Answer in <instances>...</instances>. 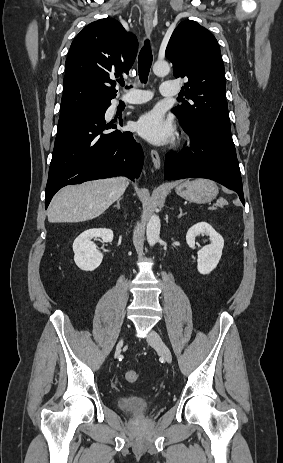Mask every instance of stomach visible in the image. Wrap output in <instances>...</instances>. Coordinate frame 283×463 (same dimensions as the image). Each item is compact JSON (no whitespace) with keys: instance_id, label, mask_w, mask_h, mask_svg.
<instances>
[{"instance_id":"obj_1","label":"stomach","mask_w":283,"mask_h":463,"mask_svg":"<svg viewBox=\"0 0 283 463\" xmlns=\"http://www.w3.org/2000/svg\"><path fill=\"white\" fill-rule=\"evenodd\" d=\"M175 191L182 198L196 203H205L216 197L218 187L211 180L197 179L177 183Z\"/></svg>"}]
</instances>
